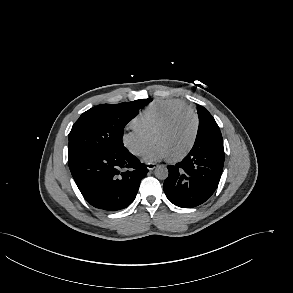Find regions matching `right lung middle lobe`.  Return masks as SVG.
<instances>
[{"mask_svg": "<svg viewBox=\"0 0 293 293\" xmlns=\"http://www.w3.org/2000/svg\"><path fill=\"white\" fill-rule=\"evenodd\" d=\"M150 101L151 98L102 104L84 112L69 133V167L93 154L123 147L124 127Z\"/></svg>", "mask_w": 293, "mask_h": 293, "instance_id": "1", "label": "right lung middle lobe"}]
</instances>
